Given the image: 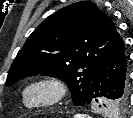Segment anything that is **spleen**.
Instances as JSON below:
<instances>
[{
	"instance_id": "obj_1",
	"label": "spleen",
	"mask_w": 133,
	"mask_h": 118,
	"mask_svg": "<svg viewBox=\"0 0 133 118\" xmlns=\"http://www.w3.org/2000/svg\"><path fill=\"white\" fill-rule=\"evenodd\" d=\"M74 118H81V117H79V116H74Z\"/></svg>"
}]
</instances>
